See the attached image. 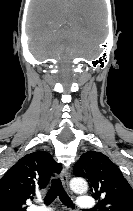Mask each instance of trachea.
Wrapping results in <instances>:
<instances>
[{
  "mask_svg": "<svg viewBox=\"0 0 133 211\" xmlns=\"http://www.w3.org/2000/svg\"><path fill=\"white\" fill-rule=\"evenodd\" d=\"M57 196L59 197V199L63 204H65L68 207L74 208V205L69 196L67 195V193L65 192L61 180L59 178L52 179L51 188L46 194V197L44 198L45 204L46 205L51 204Z\"/></svg>",
  "mask_w": 133,
  "mask_h": 211,
  "instance_id": "1",
  "label": "trachea"
}]
</instances>
